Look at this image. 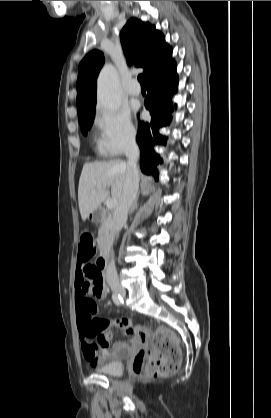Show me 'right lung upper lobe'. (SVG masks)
I'll use <instances>...</instances> for the list:
<instances>
[{"mask_svg": "<svg viewBox=\"0 0 271 418\" xmlns=\"http://www.w3.org/2000/svg\"><path fill=\"white\" fill-rule=\"evenodd\" d=\"M120 38L128 64L143 67L145 79L173 60L171 59L172 48L165 42L163 34L150 23L131 18L123 27ZM103 62L102 52L93 50L79 64L77 79L78 116L95 109L96 79Z\"/></svg>", "mask_w": 271, "mask_h": 418, "instance_id": "1", "label": "right lung upper lobe"}]
</instances>
